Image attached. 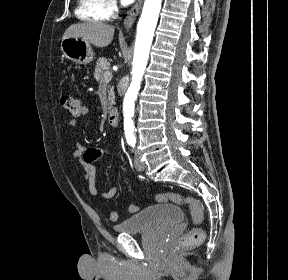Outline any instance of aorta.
Returning a JSON list of instances; mask_svg holds the SVG:
<instances>
[{"label": "aorta", "mask_w": 288, "mask_h": 280, "mask_svg": "<svg viewBox=\"0 0 288 280\" xmlns=\"http://www.w3.org/2000/svg\"><path fill=\"white\" fill-rule=\"evenodd\" d=\"M162 0H145L141 17L137 25L134 49L132 80L124 98L123 116L126 120H135L137 98L144 75L154 31L157 25ZM125 140H136L137 126L134 121H123Z\"/></svg>", "instance_id": "762f6f07"}]
</instances>
